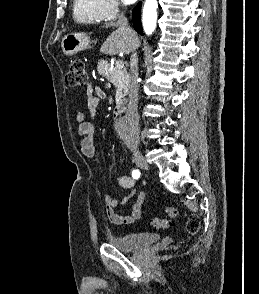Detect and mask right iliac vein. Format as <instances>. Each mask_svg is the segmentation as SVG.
Masks as SVG:
<instances>
[{"label":"right iliac vein","mask_w":259,"mask_h":294,"mask_svg":"<svg viewBox=\"0 0 259 294\" xmlns=\"http://www.w3.org/2000/svg\"><path fill=\"white\" fill-rule=\"evenodd\" d=\"M132 153L134 162L137 164V166L141 169L149 170V164L147 163L143 155L140 153V151L138 149H133Z\"/></svg>","instance_id":"63e3f726"}]
</instances>
